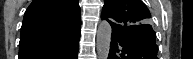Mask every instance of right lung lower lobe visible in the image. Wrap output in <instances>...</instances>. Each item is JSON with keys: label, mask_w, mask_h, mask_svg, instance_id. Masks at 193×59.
Returning <instances> with one entry per match:
<instances>
[{"label": "right lung lower lobe", "mask_w": 193, "mask_h": 59, "mask_svg": "<svg viewBox=\"0 0 193 59\" xmlns=\"http://www.w3.org/2000/svg\"><path fill=\"white\" fill-rule=\"evenodd\" d=\"M79 39L80 37L51 54L34 57H25L23 59H77Z\"/></svg>", "instance_id": "right-lung-lower-lobe-1"}]
</instances>
